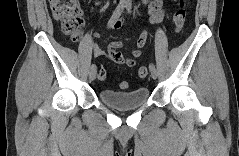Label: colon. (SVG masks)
Segmentation results:
<instances>
[{"label": "colon", "mask_w": 239, "mask_h": 156, "mask_svg": "<svg viewBox=\"0 0 239 156\" xmlns=\"http://www.w3.org/2000/svg\"><path fill=\"white\" fill-rule=\"evenodd\" d=\"M51 9L55 19L60 23L63 33L70 36L74 41L81 37L83 26V10L76 0H52ZM186 19L185 1L179 0L177 7L173 14V22L177 30H180ZM138 76L144 79L148 76V69L140 67ZM107 71L101 67L98 72V78L105 80ZM120 89L125 90L128 88V82L122 81L119 84Z\"/></svg>", "instance_id": "1"}]
</instances>
